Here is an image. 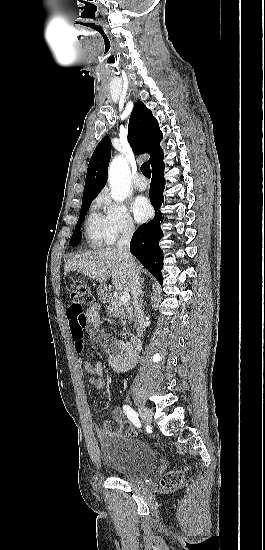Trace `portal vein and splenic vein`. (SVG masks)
Wrapping results in <instances>:
<instances>
[{"label": "portal vein and splenic vein", "mask_w": 265, "mask_h": 550, "mask_svg": "<svg viewBox=\"0 0 265 550\" xmlns=\"http://www.w3.org/2000/svg\"><path fill=\"white\" fill-rule=\"evenodd\" d=\"M119 299H120L123 303H127V302H129V300H130V295H129V293H127V292H122V293H120Z\"/></svg>", "instance_id": "18ae733b"}]
</instances>
